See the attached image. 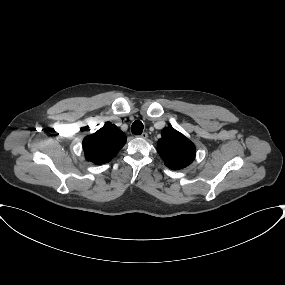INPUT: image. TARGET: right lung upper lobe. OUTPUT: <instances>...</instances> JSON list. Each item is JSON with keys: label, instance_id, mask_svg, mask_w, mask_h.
Segmentation results:
<instances>
[{"label": "right lung upper lobe", "instance_id": "right-lung-upper-lobe-1", "mask_svg": "<svg viewBox=\"0 0 285 285\" xmlns=\"http://www.w3.org/2000/svg\"><path fill=\"white\" fill-rule=\"evenodd\" d=\"M126 140V135L117 126L105 123L97 132L84 138L86 160L96 165L108 163L125 145Z\"/></svg>", "mask_w": 285, "mask_h": 285}]
</instances>
